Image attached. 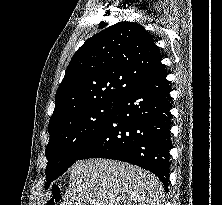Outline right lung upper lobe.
I'll use <instances>...</instances> for the list:
<instances>
[{
	"mask_svg": "<svg viewBox=\"0 0 222 205\" xmlns=\"http://www.w3.org/2000/svg\"><path fill=\"white\" fill-rule=\"evenodd\" d=\"M151 35L134 22H119L88 39L74 54L56 92L49 125L85 107L121 101L164 71Z\"/></svg>",
	"mask_w": 222,
	"mask_h": 205,
	"instance_id": "cb5924a9",
	"label": "right lung upper lobe"
}]
</instances>
